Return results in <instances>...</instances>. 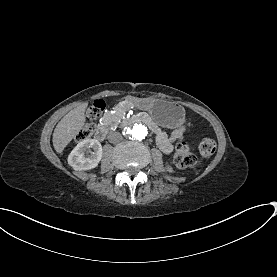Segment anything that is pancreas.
<instances>
[{
    "mask_svg": "<svg viewBox=\"0 0 277 277\" xmlns=\"http://www.w3.org/2000/svg\"><path fill=\"white\" fill-rule=\"evenodd\" d=\"M130 105L127 102H120L116 107L110 108L104 115V122L107 125H114L121 119V116H127L130 113Z\"/></svg>",
    "mask_w": 277,
    "mask_h": 277,
    "instance_id": "pancreas-1",
    "label": "pancreas"
}]
</instances>
